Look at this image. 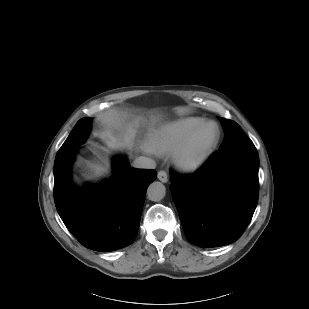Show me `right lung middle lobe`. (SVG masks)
I'll return each instance as SVG.
<instances>
[{
	"label": "right lung middle lobe",
	"mask_w": 309,
	"mask_h": 309,
	"mask_svg": "<svg viewBox=\"0 0 309 309\" xmlns=\"http://www.w3.org/2000/svg\"><path fill=\"white\" fill-rule=\"evenodd\" d=\"M91 120V118H83L75 125L69 137L59 149L55 158V162L62 159L71 151L75 150L78 145L82 144L85 141L86 135L90 128Z\"/></svg>",
	"instance_id": "dd1d6c3e"
}]
</instances>
